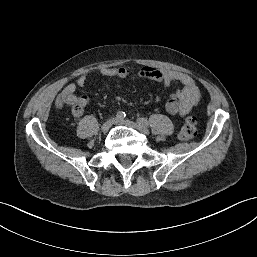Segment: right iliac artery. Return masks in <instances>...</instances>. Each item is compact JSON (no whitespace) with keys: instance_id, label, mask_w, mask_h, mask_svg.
<instances>
[{"instance_id":"right-iliac-artery-1","label":"right iliac artery","mask_w":257,"mask_h":257,"mask_svg":"<svg viewBox=\"0 0 257 257\" xmlns=\"http://www.w3.org/2000/svg\"><path fill=\"white\" fill-rule=\"evenodd\" d=\"M126 116L125 112H122V111H119L117 114H116V118L117 119H124Z\"/></svg>"}]
</instances>
